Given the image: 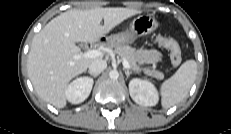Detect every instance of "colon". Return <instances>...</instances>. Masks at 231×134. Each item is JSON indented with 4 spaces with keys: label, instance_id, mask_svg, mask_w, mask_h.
Instances as JSON below:
<instances>
[{
    "label": "colon",
    "instance_id": "obj_1",
    "mask_svg": "<svg viewBox=\"0 0 231 134\" xmlns=\"http://www.w3.org/2000/svg\"><path fill=\"white\" fill-rule=\"evenodd\" d=\"M152 42L170 51V59L173 66L177 67L180 65L182 59L181 49L176 40L163 36H155L152 38Z\"/></svg>",
    "mask_w": 231,
    "mask_h": 134
}]
</instances>
